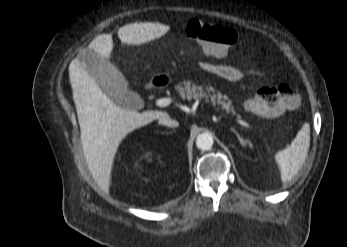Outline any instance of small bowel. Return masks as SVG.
I'll return each mask as SVG.
<instances>
[{
	"instance_id": "c3829d8e",
	"label": "small bowel",
	"mask_w": 347,
	"mask_h": 247,
	"mask_svg": "<svg viewBox=\"0 0 347 247\" xmlns=\"http://www.w3.org/2000/svg\"><path fill=\"white\" fill-rule=\"evenodd\" d=\"M200 68L212 75L220 77L229 82H238L243 78V73L234 66L202 61Z\"/></svg>"
}]
</instances>
